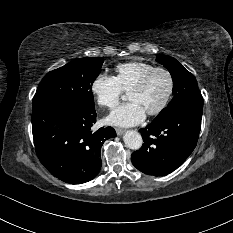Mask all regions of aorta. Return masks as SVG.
Masks as SVG:
<instances>
[{
  "instance_id": "762f6f07",
  "label": "aorta",
  "mask_w": 233,
  "mask_h": 233,
  "mask_svg": "<svg viewBox=\"0 0 233 233\" xmlns=\"http://www.w3.org/2000/svg\"><path fill=\"white\" fill-rule=\"evenodd\" d=\"M123 140L126 146L132 150H138L141 148L143 140L140 133L134 130H128L123 136Z\"/></svg>"
}]
</instances>
